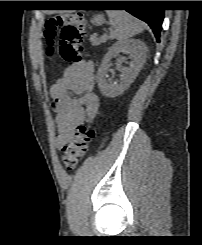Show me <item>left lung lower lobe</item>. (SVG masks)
<instances>
[{
    "mask_svg": "<svg viewBox=\"0 0 202 245\" xmlns=\"http://www.w3.org/2000/svg\"><path fill=\"white\" fill-rule=\"evenodd\" d=\"M104 3V5L107 6L127 7L126 11L150 26L156 40L159 42L164 10L150 8V6L154 4L153 1H104Z\"/></svg>",
    "mask_w": 202,
    "mask_h": 245,
    "instance_id": "obj_1",
    "label": "left lung lower lobe"
}]
</instances>
